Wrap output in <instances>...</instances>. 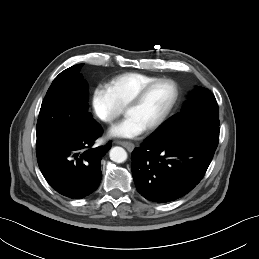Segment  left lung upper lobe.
Wrapping results in <instances>:
<instances>
[{
  "mask_svg": "<svg viewBox=\"0 0 259 259\" xmlns=\"http://www.w3.org/2000/svg\"><path fill=\"white\" fill-rule=\"evenodd\" d=\"M218 112L214 95L208 89L196 87L193 97L185 103L182 111L172 116L150 137L163 141L190 126L219 127Z\"/></svg>",
  "mask_w": 259,
  "mask_h": 259,
  "instance_id": "left-lung-upper-lobe-1",
  "label": "left lung upper lobe"
}]
</instances>
